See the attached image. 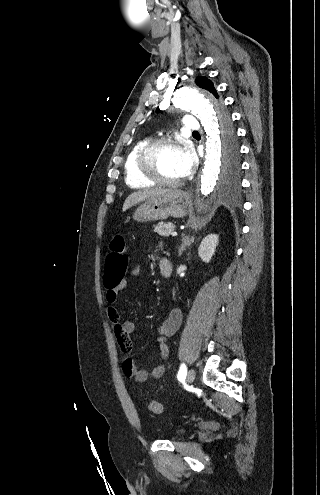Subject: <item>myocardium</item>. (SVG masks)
Here are the masks:
<instances>
[{"instance_id": "myocardium-1", "label": "myocardium", "mask_w": 320, "mask_h": 495, "mask_svg": "<svg viewBox=\"0 0 320 495\" xmlns=\"http://www.w3.org/2000/svg\"><path fill=\"white\" fill-rule=\"evenodd\" d=\"M174 146L186 149V144L182 139L172 136L161 137L148 142L139 152L137 157V169L139 173L158 185L176 186L182 182V179L171 180L159 175L155 168L154 157L163 147Z\"/></svg>"}]
</instances>
